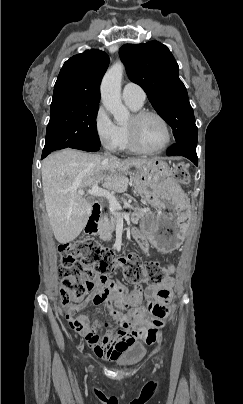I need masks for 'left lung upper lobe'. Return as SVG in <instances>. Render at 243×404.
<instances>
[{
  "instance_id": "obj_1",
  "label": "left lung upper lobe",
  "mask_w": 243,
  "mask_h": 404,
  "mask_svg": "<svg viewBox=\"0 0 243 404\" xmlns=\"http://www.w3.org/2000/svg\"><path fill=\"white\" fill-rule=\"evenodd\" d=\"M129 79L146 92L157 113L171 126L176 142H197V126L179 67L158 41L125 44L119 51Z\"/></svg>"
}]
</instances>
